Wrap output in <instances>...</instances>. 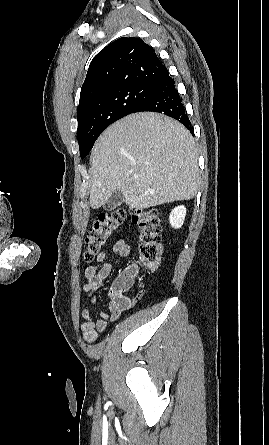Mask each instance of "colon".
<instances>
[{
    "instance_id": "1",
    "label": "colon",
    "mask_w": 269,
    "mask_h": 445,
    "mask_svg": "<svg viewBox=\"0 0 269 445\" xmlns=\"http://www.w3.org/2000/svg\"><path fill=\"white\" fill-rule=\"evenodd\" d=\"M128 211L120 208L111 212L101 213L88 231L84 243V260L92 262L108 244L111 238L126 218ZM137 225V242L139 250V265L146 268H155L161 258V226L155 209L136 210L132 214ZM134 278L123 274L117 278L112 291L123 295L133 284ZM122 303V299L118 298Z\"/></svg>"
}]
</instances>
